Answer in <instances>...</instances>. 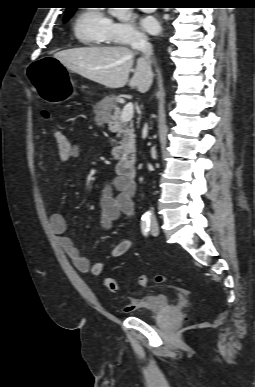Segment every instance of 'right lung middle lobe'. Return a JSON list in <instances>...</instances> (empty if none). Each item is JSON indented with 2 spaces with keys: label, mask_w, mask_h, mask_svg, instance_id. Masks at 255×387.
<instances>
[{
  "label": "right lung middle lobe",
  "mask_w": 255,
  "mask_h": 387,
  "mask_svg": "<svg viewBox=\"0 0 255 387\" xmlns=\"http://www.w3.org/2000/svg\"><path fill=\"white\" fill-rule=\"evenodd\" d=\"M74 13V8L68 9L64 16V22L68 21Z\"/></svg>",
  "instance_id": "1"
}]
</instances>
